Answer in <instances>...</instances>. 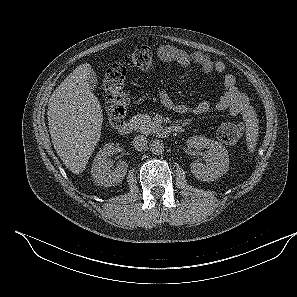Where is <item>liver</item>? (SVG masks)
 <instances>
[{
	"label": "liver",
	"instance_id": "liver-1",
	"mask_svg": "<svg viewBox=\"0 0 297 297\" xmlns=\"http://www.w3.org/2000/svg\"><path fill=\"white\" fill-rule=\"evenodd\" d=\"M90 64L79 65L52 93L48 125L57 155L74 174L85 169L101 135L103 113L90 91Z\"/></svg>",
	"mask_w": 297,
	"mask_h": 297
}]
</instances>
